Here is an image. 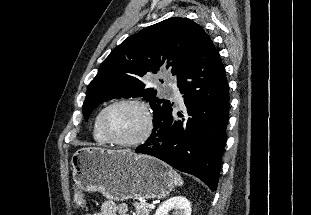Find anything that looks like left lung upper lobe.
I'll use <instances>...</instances> for the list:
<instances>
[{
    "instance_id": "left-lung-upper-lobe-1",
    "label": "left lung upper lobe",
    "mask_w": 311,
    "mask_h": 215,
    "mask_svg": "<svg viewBox=\"0 0 311 215\" xmlns=\"http://www.w3.org/2000/svg\"><path fill=\"white\" fill-rule=\"evenodd\" d=\"M206 35L192 20L172 17L128 37L102 62L88 86L82 107L85 119L99 104L119 97H143L155 119L168 101L157 97L152 74L166 67L177 76Z\"/></svg>"
}]
</instances>
